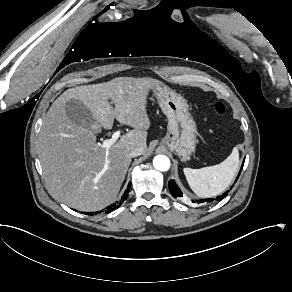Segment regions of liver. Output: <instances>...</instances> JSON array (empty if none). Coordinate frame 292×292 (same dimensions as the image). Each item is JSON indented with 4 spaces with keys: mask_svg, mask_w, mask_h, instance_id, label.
<instances>
[{
    "mask_svg": "<svg viewBox=\"0 0 292 292\" xmlns=\"http://www.w3.org/2000/svg\"><path fill=\"white\" fill-rule=\"evenodd\" d=\"M159 84L151 78L120 77L68 89L54 101L42 121L38 143V157L53 197L81 211H98L115 200L132 162V149L141 147L147 153L148 98ZM71 99L90 110L98 129L111 130L115 114L134 130L104 147L96 142L98 129L72 123L65 112ZM109 102L116 107L114 113Z\"/></svg>",
    "mask_w": 292,
    "mask_h": 292,
    "instance_id": "liver-1",
    "label": "liver"
}]
</instances>
